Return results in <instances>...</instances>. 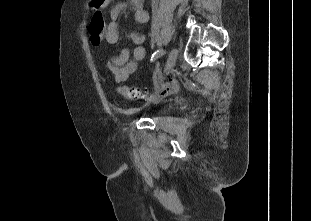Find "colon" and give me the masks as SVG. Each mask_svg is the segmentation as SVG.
Returning a JSON list of instances; mask_svg holds the SVG:
<instances>
[{"label": "colon", "instance_id": "5ec220e1", "mask_svg": "<svg viewBox=\"0 0 311 221\" xmlns=\"http://www.w3.org/2000/svg\"><path fill=\"white\" fill-rule=\"evenodd\" d=\"M104 30L105 23L103 14L101 12H96L89 23V33L93 44L98 45L100 43L104 36ZM172 85L173 83L171 80L165 81L155 94L158 95L169 92L172 89ZM115 91L130 100H140L153 96L147 89L141 87L120 85L116 87Z\"/></svg>", "mask_w": 311, "mask_h": 221}]
</instances>
